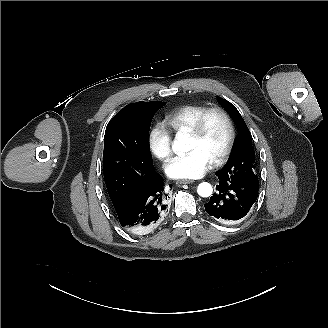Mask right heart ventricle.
<instances>
[{"mask_svg": "<svg viewBox=\"0 0 328 328\" xmlns=\"http://www.w3.org/2000/svg\"><path fill=\"white\" fill-rule=\"evenodd\" d=\"M206 105L192 104L169 112L164 117L165 125L174 133L188 132L197 118L206 110Z\"/></svg>", "mask_w": 328, "mask_h": 328, "instance_id": "e07e8e85", "label": "right heart ventricle"}]
</instances>
